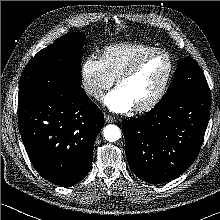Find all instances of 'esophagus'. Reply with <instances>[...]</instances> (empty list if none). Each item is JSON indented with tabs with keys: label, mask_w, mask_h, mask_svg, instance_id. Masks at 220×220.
I'll return each instance as SVG.
<instances>
[{
	"label": "esophagus",
	"mask_w": 220,
	"mask_h": 220,
	"mask_svg": "<svg viewBox=\"0 0 220 220\" xmlns=\"http://www.w3.org/2000/svg\"><path fill=\"white\" fill-rule=\"evenodd\" d=\"M104 118H105V121H106L107 123H112V122L115 121V118L112 117L111 115H108V114H106V115L104 116Z\"/></svg>",
	"instance_id": "1"
}]
</instances>
